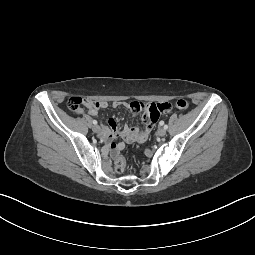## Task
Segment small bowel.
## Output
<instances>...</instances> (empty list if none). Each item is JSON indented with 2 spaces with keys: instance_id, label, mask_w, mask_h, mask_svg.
Returning a JSON list of instances; mask_svg holds the SVG:
<instances>
[{
  "instance_id": "c3829d8e",
  "label": "small bowel",
  "mask_w": 255,
  "mask_h": 255,
  "mask_svg": "<svg viewBox=\"0 0 255 255\" xmlns=\"http://www.w3.org/2000/svg\"><path fill=\"white\" fill-rule=\"evenodd\" d=\"M128 106L134 111L144 110V123L143 129L124 127L119 131L117 121L114 118L108 119L107 126L102 128V138L111 144L113 152L120 151L125 147V143L132 142H144L154 126L157 120H160L163 115L171 113L174 106L169 101H162L160 103H143L139 101H134L131 104L124 102H114L113 107L117 106ZM108 103L106 101H98L96 105L88 106V113L91 116H95L98 113L99 108H106ZM120 135L123 139L122 142L114 143L113 140Z\"/></svg>"
}]
</instances>
